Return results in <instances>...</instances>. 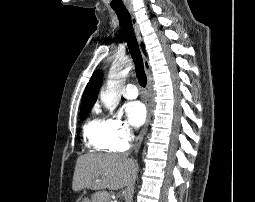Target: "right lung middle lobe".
<instances>
[{
	"instance_id": "right-lung-middle-lobe-1",
	"label": "right lung middle lobe",
	"mask_w": 255,
	"mask_h": 202,
	"mask_svg": "<svg viewBox=\"0 0 255 202\" xmlns=\"http://www.w3.org/2000/svg\"><path fill=\"white\" fill-rule=\"evenodd\" d=\"M92 107H81L80 117L81 119L86 118Z\"/></svg>"
}]
</instances>
